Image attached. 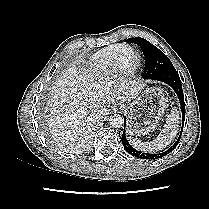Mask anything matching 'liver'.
Listing matches in <instances>:
<instances>
[{"label": "liver", "mask_w": 209, "mask_h": 209, "mask_svg": "<svg viewBox=\"0 0 209 209\" xmlns=\"http://www.w3.org/2000/svg\"><path fill=\"white\" fill-rule=\"evenodd\" d=\"M136 80L104 79L89 70L69 69L50 92L49 130L58 148L80 154L88 149L92 122L107 114L106 104L133 100L143 88Z\"/></svg>", "instance_id": "1"}]
</instances>
